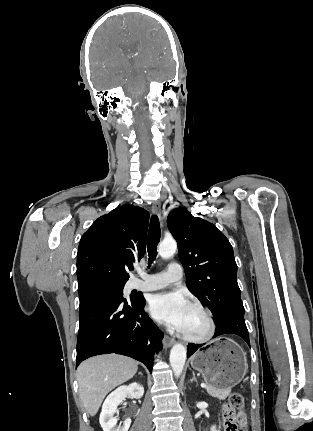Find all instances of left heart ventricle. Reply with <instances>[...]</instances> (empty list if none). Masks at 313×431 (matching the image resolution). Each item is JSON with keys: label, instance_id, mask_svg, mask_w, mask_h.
Segmentation results:
<instances>
[{"label": "left heart ventricle", "instance_id": "left-heart-ventricle-1", "mask_svg": "<svg viewBox=\"0 0 313 431\" xmlns=\"http://www.w3.org/2000/svg\"><path fill=\"white\" fill-rule=\"evenodd\" d=\"M208 328L209 325L205 315L201 311L189 307L182 333L188 336L200 337L207 333Z\"/></svg>", "mask_w": 313, "mask_h": 431}]
</instances>
